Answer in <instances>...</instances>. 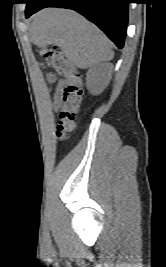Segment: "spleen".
Wrapping results in <instances>:
<instances>
[{
	"instance_id": "3e777b00",
	"label": "spleen",
	"mask_w": 166,
	"mask_h": 267,
	"mask_svg": "<svg viewBox=\"0 0 166 267\" xmlns=\"http://www.w3.org/2000/svg\"><path fill=\"white\" fill-rule=\"evenodd\" d=\"M32 33L38 45H59L67 57L80 67H92L113 58L108 38L72 10H43L34 19Z\"/></svg>"
}]
</instances>
